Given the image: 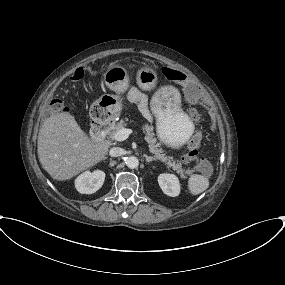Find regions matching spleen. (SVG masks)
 <instances>
[{
  "mask_svg": "<svg viewBox=\"0 0 285 285\" xmlns=\"http://www.w3.org/2000/svg\"><path fill=\"white\" fill-rule=\"evenodd\" d=\"M209 187V180L198 174L192 175L188 180V188L192 195H198Z\"/></svg>",
  "mask_w": 285,
  "mask_h": 285,
  "instance_id": "3e777b00",
  "label": "spleen"
}]
</instances>
